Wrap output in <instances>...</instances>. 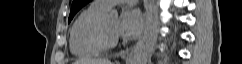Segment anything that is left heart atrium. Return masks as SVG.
I'll return each mask as SVG.
<instances>
[{
    "mask_svg": "<svg viewBox=\"0 0 242 64\" xmlns=\"http://www.w3.org/2000/svg\"><path fill=\"white\" fill-rule=\"evenodd\" d=\"M143 30V17L136 9L125 10L116 27V34L127 39L138 37Z\"/></svg>",
    "mask_w": 242,
    "mask_h": 64,
    "instance_id": "39dd6f15",
    "label": "left heart atrium"
}]
</instances>
